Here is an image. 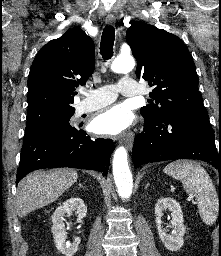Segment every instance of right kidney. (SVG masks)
Listing matches in <instances>:
<instances>
[{"label":"right kidney","mask_w":221,"mask_h":256,"mask_svg":"<svg viewBox=\"0 0 221 256\" xmlns=\"http://www.w3.org/2000/svg\"><path fill=\"white\" fill-rule=\"evenodd\" d=\"M75 211L78 219L86 217L87 207L84 201L79 197H72L60 205L52 215V234L56 248L65 256H73L79 247L81 239L76 237L73 243L66 242L64 230V215Z\"/></svg>","instance_id":"1"}]
</instances>
